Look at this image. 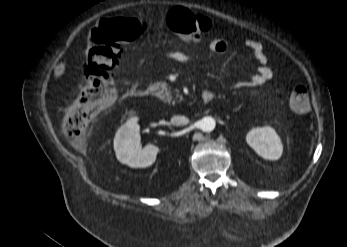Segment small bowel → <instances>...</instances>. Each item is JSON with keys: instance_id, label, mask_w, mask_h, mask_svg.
<instances>
[{"instance_id": "small-bowel-1", "label": "small bowel", "mask_w": 347, "mask_h": 247, "mask_svg": "<svg viewBox=\"0 0 347 247\" xmlns=\"http://www.w3.org/2000/svg\"><path fill=\"white\" fill-rule=\"evenodd\" d=\"M245 47L252 53L255 62L258 65L257 73L252 75L250 79L243 83L244 86L256 87L263 85L273 77V70L269 66L268 56L264 50L263 45L255 40H246ZM228 48L227 42L224 38H214L209 43V50L214 54H222L226 52ZM168 58L172 61L179 63H186L191 60L190 56L182 51H173L168 54ZM64 67L60 68L58 65L54 73L57 76L63 72Z\"/></svg>"}]
</instances>
